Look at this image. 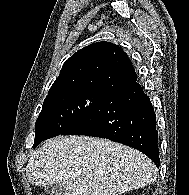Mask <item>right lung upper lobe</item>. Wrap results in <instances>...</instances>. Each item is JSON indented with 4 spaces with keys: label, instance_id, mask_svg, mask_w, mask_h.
<instances>
[{
    "label": "right lung upper lobe",
    "instance_id": "cb5924a9",
    "mask_svg": "<svg viewBox=\"0 0 189 195\" xmlns=\"http://www.w3.org/2000/svg\"><path fill=\"white\" fill-rule=\"evenodd\" d=\"M136 80L135 70L121 48L97 42L78 50L63 64L48 94L83 88L111 93Z\"/></svg>",
    "mask_w": 189,
    "mask_h": 195
}]
</instances>
